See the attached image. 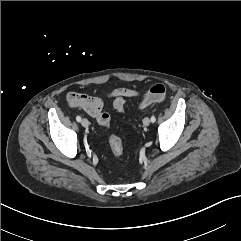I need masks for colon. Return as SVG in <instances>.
Instances as JSON below:
<instances>
[{
    "mask_svg": "<svg viewBox=\"0 0 241 241\" xmlns=\"http://www.w3.org/2000/svg\"><path fill=\"white\" fill-rule=\"evenodd\" d=\"M167 89L163 84H156L151 87L149 92L142 98L140 108L146 107L154 102H159L165 99ZM113 107L116 111L122 112L125 108V99L121 95H117L113 101ZM97 122L104 128H108L111 123V117L107 112H101L96 118ZM109 145L115 157H120L123 154L124 147L122 140L117 135L109 136Z\"/></svg>",
    "mask_w": 241,
    "mask_h": 241,
    "instance_id": "5ec220e1",
    "label": "colon"
}]
</instances>
